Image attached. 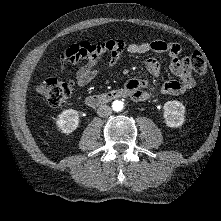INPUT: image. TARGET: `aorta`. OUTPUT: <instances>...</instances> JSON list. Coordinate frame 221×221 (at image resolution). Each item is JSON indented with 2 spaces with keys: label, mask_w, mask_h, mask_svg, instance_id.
Here are the masks:
<instances>
[{
  "label": "aorta",
  "mask_w": 221,
  "mask_h": 221,
  "mask_svg": "<svg viewBox=\"0 0 221 221\" xmlns=\"http://www.w3.org/2000/svg\"><path fill=\"white\" fill-rule=\"evenodd\" d=\"M114 111H121L123 109V102L120 100H115L112 104Z\"/></svg>",
  "instance_id": "obj_1"
}]
</instances>
